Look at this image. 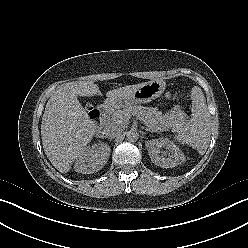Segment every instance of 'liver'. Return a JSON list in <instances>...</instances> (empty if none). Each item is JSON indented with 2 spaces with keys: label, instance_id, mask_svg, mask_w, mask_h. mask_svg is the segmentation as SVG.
<instances>
[{
  "label": "liver",
  "instance_id": "liver-1",
  "mask_svg": "<svg viewBox=\"0 0 248 248\" xmlns=\"http://www.w3.org/2000/svg\"><path fill=\"white\" fill-rule=\"evenodd\" d=\"M141 84L128 85L106 93L108 99L130 95ZM101 95L92 81L69 82L48 100L41 122L42 144L48 159L61 173H67L73 161L93 138L97 124L89 119L78 96Z\"/></svg>",
  "mask_w": 248,
  "mask_h": 248
}]
</instances>
